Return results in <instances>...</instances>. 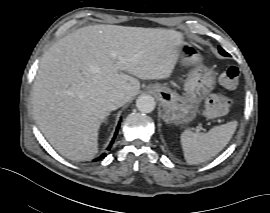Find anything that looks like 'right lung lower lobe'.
<instances>
[{
  "label": "right lung lower lobe",
  "instance_id": "right-lung-lower-lobe-1",
  "mask_svg": "<svg viewBox=\"0 0 270 213\" xmlns=\"http://www.w3.org/2000/svg\"><path fill=\"white\" fill-rule=\"evenodd\" d=\"M118 126H119V125H118ZM117 133H118V128L116 129V132H115L114 138L116 137V134H117ZM113 141H114V139L112 140V142H111L110 146L108 147V150L110 149V147H111V145H112ZM105 156H106V154L104 153V154H103V155H101L100 157L96 158L94 161H98V160H100V159L104 158Z\"/></svg>",
  "mask_w": 270,
  "mask_h": 213
}]
</instances>
